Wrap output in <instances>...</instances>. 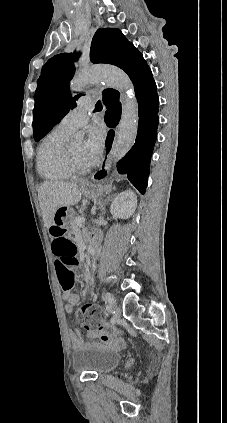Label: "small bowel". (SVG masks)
I'll return each mask as SVG.
<instances>
[{
  "label": "small bowel",
  "instance_id": "small-bowel-1",
  "mask_svg": "<svg viewBox=\"0 0 227 423\" xmlns=\"http://www.w3.org/2000/svg\"><path fill=\"white\" fill-rule=\"evenodd\" d=\"M63 300L66 302L65 311L67 314H72L74 307L79 303V297L73 293H64ZM89 335L93 338H99L103 342H109L110 337L101 330H93L89 332ZM70 338L72 345L75 350L83 349L86 344L84 343L79 330L70 331Z\"/></svg>",
  "mask_w": 227,
  "mask_h": 423
}]
</instances>
